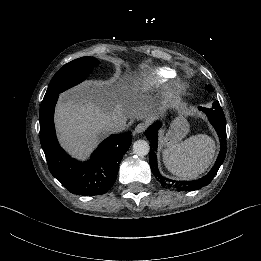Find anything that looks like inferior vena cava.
Masks as SVG:
<instances>
[{
	"mask_svg": "<svg viewBox=\"0 0 261 261\" xmlns=\"http://www.w3.org/2000/svg\"><path fill=\"white\" fill-rule=\"evenodd\" d=\"M128 118L123 116L116 117L113 121L108 124V128L111 131H120L126 128Z\"/></svg>",
	"mask_w": 261,
	"mask_h": 261,
	"instance_id": "inferior-vena-cava-1",
	"label": "inferior vena cava"
}]
</instances>
